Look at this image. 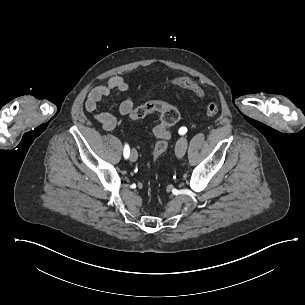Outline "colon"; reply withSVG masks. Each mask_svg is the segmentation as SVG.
<instances>
[{
  "label": "colon",
  "mask_w": 305,
  "mask_h": 305,
  "mask_svg": "<svg viewBox=\"0 0 305 305\" xmlns=\"http://www.w3.org/2000/svg\"><path fill=\"white\" fill-rule=\"evenodd\" d=\"M177 80L178 77L161 78V76H153L149 80V83H153L156 87H175L177 85ZM178 85L180 87L190 89L192 92L197 90V87L193 85V81L186 77H181L178 80ZM196 94L199 97H203V94L200 90H197ZM206 110L210 116H214L218 113V106L213 103H208L206 105ZM152 113L159 114L158 123L153 128V135L157 138V142L152 149V158L154 161H156L168 149L171 140V133L169 128L179 119V111L176 107L172 106L166 101L153 100L135 108L131 113V119L140 120Z\"/></svg>",
  "instance_id": "colon-1"
}]
</instances>
